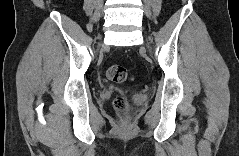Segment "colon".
I'll list each match as a JSON object with an SVG mask.
<instances>
[{"instance_id":"colon-1","label":"colon","mask_w":239,"mask_h":156,"mask_svg":"<svg viewBox=\"0 0 239 156\" xmlns=\"http://www.w3.org/2000/svg\"><path fill=\"white\" fill-rule=\"evenodd\" d=\"M106 77L113 82H125L130 78L128 70L120 65L110 66L106 70ZM113 106L115 110L120 114H125L127 112V102L122 97H117L113 101Z\"/></svg>"}]
</instances>
